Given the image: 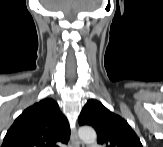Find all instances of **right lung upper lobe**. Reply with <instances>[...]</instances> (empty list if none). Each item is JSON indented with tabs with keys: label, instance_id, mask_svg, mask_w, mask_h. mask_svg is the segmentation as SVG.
Masks as SVG:
<instances>
[{
	"label": "right lung upper lobe",
	"instance_id": "right-lung-upper-lobe-1",
	"mask_svg": "<svg viewBox=\"0 0 163 147\" xmlns=\"http://www.w3.org/2000/svg\"><path fill=\"white\" fill-rule=\"evenodd\" d=\"M67 118L53 99H44L25 109L7 131L1 147H56L67 143Z\"/></svg>",
	"mask_w": 163,
	"mask_h": 147
}]
</instances>
